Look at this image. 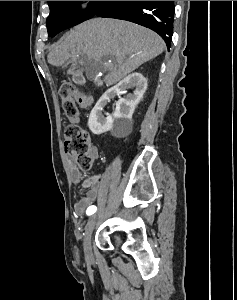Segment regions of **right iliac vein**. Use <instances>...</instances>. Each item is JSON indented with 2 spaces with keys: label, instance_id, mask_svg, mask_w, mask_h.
I'll return each instance as SVG.
<instances>
[{
  "label": "right iliac vein",
  "instance_id": "obj_1",
  "mask_svg": "<svg viewBox=\"0 0 237 300\" xmlns=\"http://www.w3.org/2000/svg\"><path fill=\"white\" fill-rule=\"evenodd\" d=\"M96 221H97V215H93L90 217V219L87 223V226H86L84 239H83V246H84V251H85L86 255L92 254L91 236H92L93 230L95 228Z\"/></svg>",
  "mask_w": 237,
  "mask_h": 300
}]
</instances>
